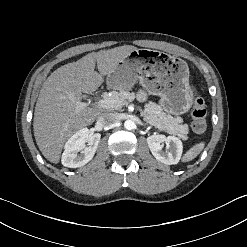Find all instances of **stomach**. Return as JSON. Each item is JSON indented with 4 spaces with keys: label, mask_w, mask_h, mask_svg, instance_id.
<instances>
[{
    "label": "stomach",
    "mask_w": 247,
    "mask_h": 247,
    "mask_svg": "<svg viewBox=\"0 0 247 247\" xmlns=\"http://www.w3.org/2000/svg\"><path fill=\"white\" fill-rule=\"evenodd\" d=\"M139 82L150 94L159 96L163 110L172 115L187 113L194 93L189 86V68L181 59L150 49L132 51L107 77L115 90H129Z\"/></svg>",
    "instance_id": "stomach-1"
}]
</instances>
